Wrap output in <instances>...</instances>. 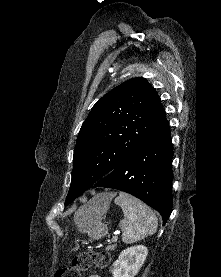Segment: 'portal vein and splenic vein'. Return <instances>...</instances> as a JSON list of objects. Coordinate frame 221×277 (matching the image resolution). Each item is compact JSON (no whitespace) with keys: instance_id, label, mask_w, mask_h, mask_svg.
I'll return each mask as SVG.
<instances>
[{"instance_id":"18ae733b","label":"portal vein and splenic vein","mask_w":221,"mask_h":277,"mask_svg":"<svg viewBox=\"0 0 221 277\" xmlns=\"http://www.w3.org/2000/svg\"><path fill=\"white\" fill-rule=\"evenodd\" d=\"M118 234H120V231L116 232L115 235L112 238V242H116L118 239Z\"/></svg>"}]
</instances>
